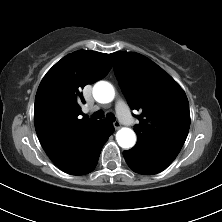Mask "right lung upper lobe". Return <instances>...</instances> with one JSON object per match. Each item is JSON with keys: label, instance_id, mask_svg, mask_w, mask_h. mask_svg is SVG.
I'll list each match as a JSON object with an SVG mask.
<instances>
[{"label": "right lung upper lobe", "instance_id": "right-lung-upper-lobe-1", "mask_svg": "<svg viewBox=\"0 0 222 222\" xmlns=\"http://www.w3.org/2000/svg\"><path fill=\"white\" fill-rule=\"evenodd\" d=\"M112 67L108 54L79 50L57 62L42 79L35 97L34 122L38 138L62 171L86 157L90 134L104 121L81 118V90L105 77Z\"/></svg>", "mask_w": 222, "mask_h": 222}]
</instances>
